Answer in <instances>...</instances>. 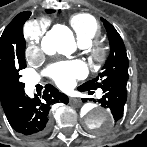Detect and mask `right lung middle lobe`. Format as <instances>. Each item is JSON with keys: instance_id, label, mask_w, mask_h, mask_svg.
<instances>
[{"instance_id": "1", "label": "right lung middle lobe", "mask_w": 147, "mask_h": 147, "mask_svg": "<svg viewBox=\"0 0 147 147\" xmlns=\"http://www.w3.org/2000/svg\"><path fill=\"white\" fill-rule=\"evenodd\" d=\"M47 13H53L54 10H46ZM30 12H23L22 20L20 22V31H21V43L24 46L22 56L17 65H14L3 80V89L5 95L9 98L21 95L24 93L25 84L20 82L19 71L26 67L25 62V39L23 37V24L29 18Z\"/></svg>"}]
</instances>
